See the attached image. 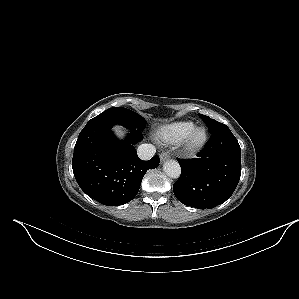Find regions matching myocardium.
Masks as SVG:
<instances>
[{
	"mask_svg": "<svg viewBox=\"0 0 299 299\" xmlns=\"http://www.w3.org/2000/svg\"><path fill=\"white\" fill-rule=\"evenodd\" d=\"M201 133L200 138L196 136ZM208 140V132L203 126H195L181 141L182 151L186 155H194L201 151Z\"/></svg>",
	"mask_w": 299,
	"mask_h": 299,
	"instance_id": "1",
	"label": "myocardium"
}]
</instances>
